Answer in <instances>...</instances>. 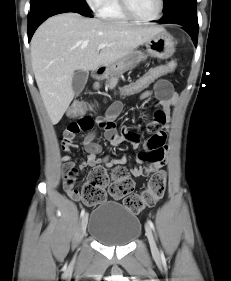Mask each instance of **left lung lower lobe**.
I'll use <instances>...</instances> for the list:
<instances>
[{
  "label": "left lung lower lobe",
  "instance_id": "0a47b994",
  "mask_svg": "<svg viewBox=\"0 0 231 281\" xmlns=\"http://www.w3.org/2000/svg\"><path fill=\"white\" fill-rule=\"evenodd\" d=\"M160 24L174 23L185 27L187 33L193 38L194 44L197 45L198 40V19H197V1L190 0L176 4L164 12L161 20L157 21Z\"/></svg>",
  "mask_w": 231,
  "mask_h": 281
}]
</instances>
